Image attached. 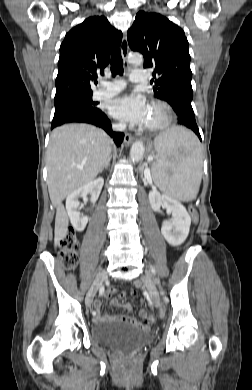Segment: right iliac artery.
<instances>
[{
	"instance_id": "obj_1",
	"label": "right iliac artery",
	"mask_w": 252,
	"mask_h": 390,
	"mask_svg": "<svg viewBox=\"0 0 252 390\" xmlns=\"http://www.w3.org/2000/svg\"><path fill=\"white\" fill-rule=\"evenodd\" d=\"M104 289H105V286H104V285H101V286H100V289H99L100 295H103ZM89 315H90V316H95V315H96V312H95V311H90V312H89Z\"/></svg>"
}]
</instances>
